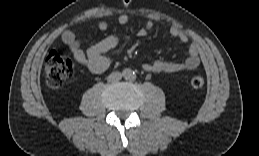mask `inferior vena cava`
<instances>
[{"instance_id": "1", "label": "inferior vena cava", "mask_w": 259, "mask_h": 156, "mask_svg": "<svg viewBox=\"0 0 259 156\" xmlns=\"http://www.w3.org/2000/svg\"><path fill=\"white\" fill-rule=\"evenodd\" d=\"M122 78V74L120 72H113L108 77L107 80L109 82H116Z\"/></svg>"}]
</instances>
